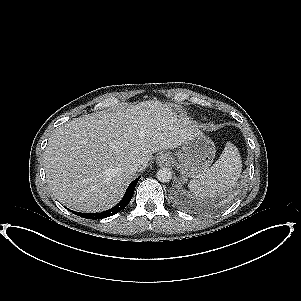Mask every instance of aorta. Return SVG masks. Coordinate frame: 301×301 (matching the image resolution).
Here are the masks:
<instances>
[{"mask_svg":"<svg viewBox=\"0 0 301 301\" xmlns=\"http://www.w3.org/2000/svg\"><path fill=\"white\" fill-rule=\"evenodd\" d=\"M157 179L162 183H167L172 179V172L168 168H161L157 171Z\"/></svg>","mask_w":301,"mask_h":301,"instance_id":"762f6f07","label":"aorta"}]
</instances>
